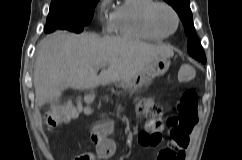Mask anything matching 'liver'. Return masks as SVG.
<instances>
[{
  "mask_svg": "<svg viewBox=\"0 0 242 160\" xmlns=\"http://www.w3.org/2000/svg\"><path fill=\"white\" fill-rule=\"evenodd\" d=\"M174 55L168 45H150L124 37L57 31L37 46L33 74L36 103L58 101L64 89L95 88L132 79L151 63ZM105 64L97 74L96 67Z\"/></svg>",
  "mask_w": 242,
  "mask_h": 160,
  "instance_id": "liver-1",
  "label": "liver"
}]
</instances>
